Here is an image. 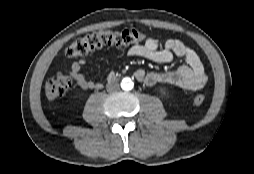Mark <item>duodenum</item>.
Returning a JSON list of instances; mask_svg holds the SVG:
<instances>
[{
	"label": "duodenum",
	"mask_w": 254,
	"mask_h": 174,
	"mask_svg": "<svg viewBox=\"0 0 254 174\" xmlns=\"http://www.w3.org/2000/svg\"><path fill=\"white\" fill-rule=\"evenodd\" d=\"M114 74H110L109 76H108V81H113L114 80Z\"/></svg>",
	"instance_id": "410a0bca"
}]
</instances>
